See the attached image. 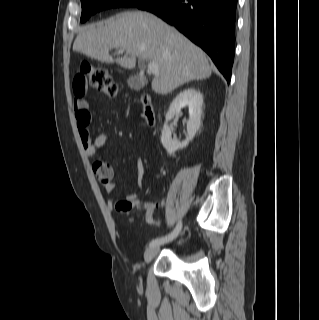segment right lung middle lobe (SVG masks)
Instances as JSON below:
<instances>
[{
	"instance_id": "dd1d6c3e",
	"label": "right lung middle lobe",
	"mask_w": 319,
	"mask_h": 320,
	"mask_svg": "<svg viewBox=\"0 0 319 320\" xmlns=\"http://www.w3.org/2000/svg\"><path fill=\"white\" fill-rule=\"evenodd\" d=\"M151 1L152 0H81V22L86 21L91 15L101 10L116 7H137Z\"/></svg>"
}]
</instances>
